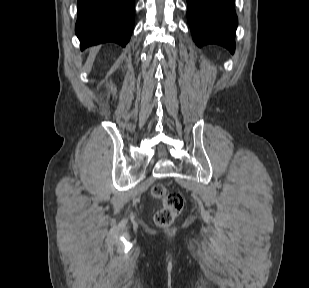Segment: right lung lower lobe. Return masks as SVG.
Wrapping results in <instances>:
<instances>
[{
	"instance_id": "obj_1",
	"label": "right lung lower lobe",
	"mask_w": 309,
	"mask_h": 288,
	"mask_svg": "<svg viewBox=\"0 0 309 288\" xmlns=\"http://www.w3.org/2000/svg\"><path fill=\"white\" fill-rule=\"evenodd\" d=\"M134 28V0H78L75 32L81 49L105 42L125 47Z\"/></svg>"
}]
</instances>
